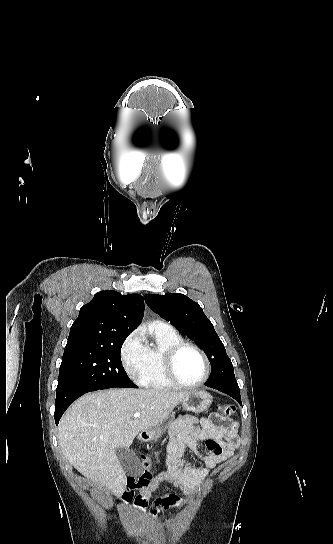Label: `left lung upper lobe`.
<instances>
[{
    "label": "left lung upper lobe",
    "mask_w": 333,
    "mask_h": 544,
    "mask_svg": "<svg viewBox=\"0 0 333 544\" xmlns=\"http://www.w3.org/2000/svg\"><path fill=\"white\" fill-rule=\"evenodd\" d=\"M149 308L193 339L211 363L208 387L239 389L233 365L211 321L200 305L183 294H146Z\"/></svg>",
    "instance_id": "obj_1"
}]
</instances>
